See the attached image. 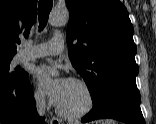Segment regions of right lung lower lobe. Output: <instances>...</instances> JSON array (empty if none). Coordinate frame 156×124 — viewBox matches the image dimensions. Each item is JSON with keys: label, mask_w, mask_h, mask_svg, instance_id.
Listing matches in <instances>:
<instances>
[{"label": "right lung lower lobe", "mask_w": 156, "mask_h": 124, "mask_svg": "<svg viewBox=\"0 0 156 124\" xmlns=\"http://www.w3.org/2000/svg\"><path fill=\"white\" fill-rule=\"evenodd\" d=\"M0 123L44 124L36 112L29 76L13 79L0 70Z\"/></svg>", "instance_id": "1"}]
</instances>
